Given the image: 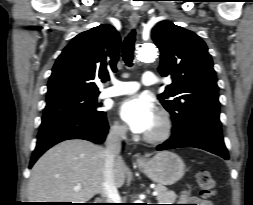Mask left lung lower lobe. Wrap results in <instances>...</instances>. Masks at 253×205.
<instances>
[{
  "label": "left lung lower lobe",
  "mask_w": 253,
  "mask_h": 205,
  "mask_svg": "<svg viewBox=\"0 0 253 205\" xmlns=\"http://www.w3.org/2000/svg\"><path fill=\"white\" fill-rule=\"evenodd\" d=\"M181 147H195L219 155L228 160L221 122L213 117H200L184 130L173 128L172 135L164 144L157 146V150H168Z\"/></svg>",
  "instance_id": "left-lung-lower-lobe-1"
}]
</instances>
